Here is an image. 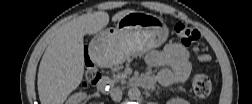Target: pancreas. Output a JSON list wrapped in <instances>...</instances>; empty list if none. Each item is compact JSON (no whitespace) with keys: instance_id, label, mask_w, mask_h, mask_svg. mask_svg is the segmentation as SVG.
Listing matches in <instances>:
<instances>
[{"instance_id":"1","label":"pancreas","mask_w":252,"mask_h":104,"mask_svg":"<svg viewBox=\"0 0 252 104\" xmlns=\"http://www.w3.org/2000/svg\"><path fill=\"white\" fill-rule=\"evenodd\" d=\"M127 78H128V76L126 74H120V75H118V77L114 78V81L117 82V81L121 80L122 82H126Z\"/></svg>"}]
</instances>
